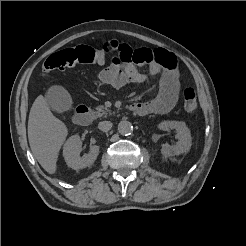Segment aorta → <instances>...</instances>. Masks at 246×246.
Returning <instances> with one entry per match:
<instances>
[{
  "instance_id": "obj_1",
  "label": "aorta",
  "mask_w": 246,
  "mask_h": 246,
  "mask_svg": "<svg viewBox=\"0 0 246 246\" xmlns=\"http://www.w3.org/2000/svg\"><path fill=\"white\" fill-rule=\"evenodd\" d=\"M118 132L121 135H130L133 132V126L129 121H121L118 124Z\"/></svg>"
}]
</instances>
